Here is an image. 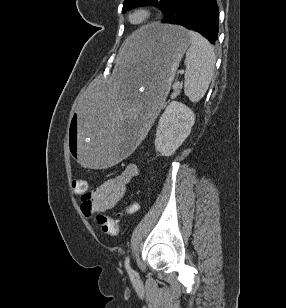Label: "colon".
<instances>
[{"instance_id": "5ec220e1", "label": "colon", "mask_w": 286, "mask_h": 308, "mask_svg": "<svg viewBox=\"0 0 286 308\" xmlns=\"http://www.w3.org/2000/svg\"><path fill=\"white\" fill-rule=\"evenodd\" d=\"M72 189L75 193H83L87 190L86 182L82 179H74L72 181ZM138 209L137 203H132L126 207L125 211L127 213H134ZM97 223L103 233L110 236H117L119 234L120 228L118 223L105 215L99 214L97 216Z\"/></svg>"}]
</instances>
